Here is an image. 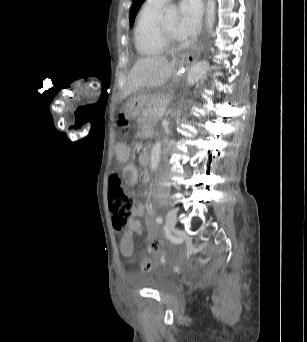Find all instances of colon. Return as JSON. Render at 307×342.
Instances as JSON below:
<instances>
[{
    "label": "colon",
    "mask_w": 307,
    "mask_h": 342,
    "mask_svg": "<svg viewBox=\"0 0 307 342\" xmlns=\"http://www.w3.org/2000/svg\"><path fill=\"white\" fill-rule=\"evenodd\" d=\"M117 124L124 133L131 131V126L125 113L120 112L118 114ZM108 200L112 212L113 226L118 230L124 229L134 209V202L127 196L121 178L116 172H113L109 179ZM131 235L132 232L127 230L125 235L119 236L120 254H133L134 239H132ZM148 248L152 253H158L161 250V244L153 240ZM152 266L153 261L147 259L142 262L140 270L143 273H148Z\"/></svg>",
    "instance_id": "obj_1"
}]
</instances>
